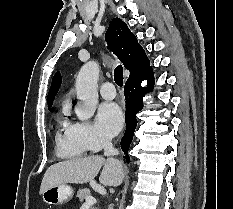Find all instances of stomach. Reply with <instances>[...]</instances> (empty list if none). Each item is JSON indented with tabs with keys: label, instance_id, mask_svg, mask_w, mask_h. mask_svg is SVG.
<instances>
[{
	"label": "stomach",
	"instance_id": "1",
	"mask_svg": "<svg viewBox=\"0 0 233 209\" xmlns=\"http://www.w3.org/2000/svg\"><path fill=\"white\" fill-rule=\"evenodd\" d=\"M74 191L68 184H59L45 190L42 199L49 205H60L70 201Z\"/></svg>",
	"mask_w": 233,
	"mask_h": 209
}]
</instances>
